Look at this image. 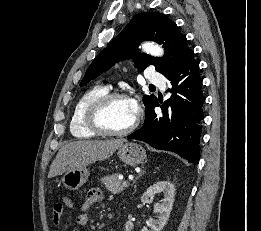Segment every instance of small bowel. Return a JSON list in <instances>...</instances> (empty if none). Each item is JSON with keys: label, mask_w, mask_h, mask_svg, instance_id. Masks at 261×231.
<instances>
[{"label": "small bowel", "mask_w": 261, "mask_h": 231, "mask_svg": "<svg viewBox=\"0 0 261 231\" xmlns=\"http://www.w3.org/2000/svg\"><path fill=\"white\" fill-rule=\"evenodd\" d=\"M104 200V196L101 190L99 189H91L80 207L78 213L75 217V222L79 226H85L89 222L88 217V210L89 208L95 204L102 202ZM62 214H63V206L61 204L54 205L53 208V222L58 225L62 221ZM55 231H60L59 229H56Z\"/></svg>", "instance_id": "c3829d8e"}]
</instances>
